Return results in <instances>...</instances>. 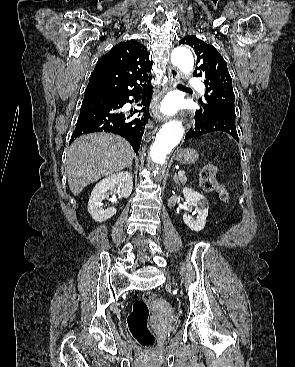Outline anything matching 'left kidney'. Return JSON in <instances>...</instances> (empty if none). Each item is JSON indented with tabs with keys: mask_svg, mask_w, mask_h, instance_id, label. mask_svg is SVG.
Here are the masks:
<instances>
[{
	"mask_svg": "<svg viewBox=\"0 0 295 367\" xmlns=\"http://www.w3.org/2000/svg\"><path fill=\"white\" fill-rule=\"evenodd\" d=\"M183 195L188 206L195 207V212L197 213L196 220L191 219L189 215L185 213L183 215V221L191 230L196 232L201 231L206 224L209 202L203 195L189 187L183 189Z\"/></svg>",
	"mask_w": 295,
	"mask_h": 367,
	"instance_id": "obj_1",
	"label": "left kidney"
}]
</instances>
